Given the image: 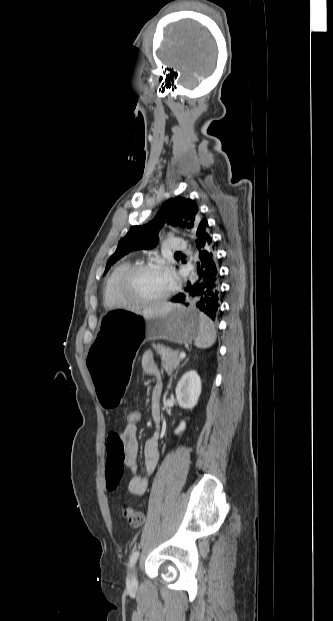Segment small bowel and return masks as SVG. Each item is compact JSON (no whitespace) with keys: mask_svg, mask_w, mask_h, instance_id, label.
I'll list each match as a JSON object with an SVG mask.
<instances>
[{"mask_svg":"<svg viewBox=\"0 0 333 621\" xmlns=\"http://www.w3.org/2000/svg\"><path fill=\"white\" fill-rule=\"evenodd\" d=\"M141 368L144 374L155 379L151 409L154 420L158 421L163 384L158 378V367L151 353L147 352L142 356ZM136 435L137 425L127 423L120 432L111 433L107 437L105 477L110 491L117 489L125 469L131 473L128 483L129 492L135 496H142L147 491L149 475L158 463L159 448L156 437H152L145 443L143 448L145 474H137L139 445Z\"/></svg>","mask_w":333,"mask_h":621,"instance_id":"small-bowel-1","label":"small bowel"}]
</instances>
